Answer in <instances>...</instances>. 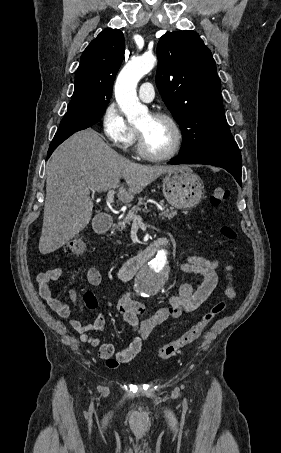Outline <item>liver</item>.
I'll return each mask as SVG.
<instances>
[{
  "instance_id": "6515ba94",
  "label": "liver",
  "mask_w": 281,
  "mask_h": 453,
  "mask_svg": "<svg viewBox=\"0 0 281 453\" xmlns=\"http://www.w3.org/2000/svg\"><path fill=\"white\" fill-rule=\"evenodd\" d=\"M186 164H138L106 144L94 128L72 134L54 150L46 164V198L39 241L42 255L57 251L83 231L91 220L93 200L86 188L104 192L119 188L122 202H131L155 178ZM124 178L128 188L120 184Z\"/></svg>"
}]
</instances>
